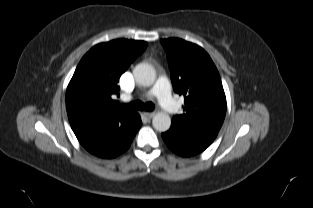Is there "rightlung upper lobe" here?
I'll use <instances>...</instances> for the list:
<instances>
[{
  "label": "right lung upper lobe",
  "instance_id": "1",
  "mask_svg": "<svg viewBox=\"0 0 313 208\" xmlns=\"http://www.w3.org/2000/svg\"><path fill=\"white\" fill-rule=\"evenodd\" d=\"M146 47L144 41L117 39L97 44L83 56L66 91L71 125L132 119L136 112L119 105L112 96L119 95L120 76Z\"/></svg>",
  "mask_w": 313,
  "mask_h": 208
}]
</instances>
